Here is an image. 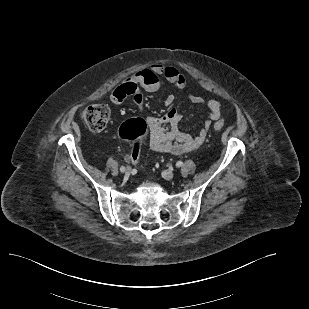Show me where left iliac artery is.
Returning <instances> with one entry per match:
<instances>
[{
  "label": "left iliac artery",
  "mask_w": 309,
  "mask_h": 309,
  "mask_svg": "<svg viewBox=\"0 0 309 309\" xmlns=\"http://www.w3.org/2000/svg\"><path fill=\"white\" fill-rule=\"evenodd\" d=\"M183 165V162L182 161H178L177 163H176V166L177 167H181Z\"/></svg>",
  "instance_id": "1"
}]
</instances>
